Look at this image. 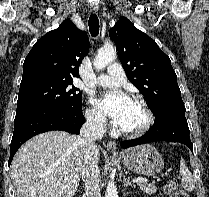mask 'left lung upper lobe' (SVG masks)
I'll return each instance as SVG.
<instances>
[{
	"mask_svg": "<svg viewBox=\"0 0 209 197\" xmlns=\"http://www.w3.org/2000/svg\"><path fill=\"white\" fill-rule=\"evenodd\" d=\"M109 35L128 79L144 95L154 114L163 108L184 106L170 58L152 38L126 17L116 22Z\"/></svg>",
	"mask_w": 209,
	"mask_h": 197,
	"instance_id": "obj_1",
	"label": "left lung upper lobe"
}]
</instances>
